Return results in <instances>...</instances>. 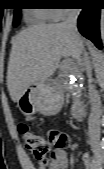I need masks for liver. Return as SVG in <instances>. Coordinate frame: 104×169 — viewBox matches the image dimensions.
Instances as JSON below:
<instances>
[{
	"instance_id": "liver-1",
	"label": "liver",
	"mask_w": 104,
	"mask_h": 169,
	"mask_svg": "<svg viewBox=\"0 0 104 169\" xmlns=\"http://www.w3.org/2000/svg\"><path fill=\"white\" fill-rule=\"evenodd\" d=\"M80 55L76 38L62 23L33 25L21 31L12 41L7 69L11 99L17 102L31 83L53 75L62 57L79 59Z\"/></svg>"
}]
</instances>
